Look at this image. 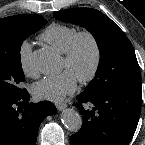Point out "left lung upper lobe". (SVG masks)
<instances>
[{
    "label": "left lung upper lobe",
    "instance_id": "left-lung-upper-lobe-1",
    "mask_svg": "<svg viewBox=\"0 0 145 145\" xmlns=\"http://www.w3.org/2000/svg\"><path fill=\"white\" fill-rule=\"evenodd\" d=\"M54 17L85 27L99 47L100 62L95 78L83 92L101 95L117 89L141 86L140 67L133 46L108 16L92 8L54 12Z\"/></svg>",
    "mask_w": 145,
    "mask_h": 145
}]
</instances>
